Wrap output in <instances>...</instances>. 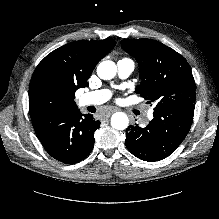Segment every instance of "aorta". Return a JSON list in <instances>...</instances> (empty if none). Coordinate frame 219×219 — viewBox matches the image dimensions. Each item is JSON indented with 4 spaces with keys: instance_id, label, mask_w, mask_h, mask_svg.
<instances>
[{
    "instance_id": "obj_1",
    "label": "aorta",
    "mask_w": 219,
    "mask_h": 219,
    "mask_svg": "<svg viewBox=\"0 0 219 219\" xmlns=\"http://www.w3.org/2000/svg\"><path fill=\"white\" fill-rule=\"evenodd\" d=\"M117 66L113 61L106 60L97 67V75L103 80H110L115 77ZM129 125V118L123 112H116L111 117V126L116 130H125Z\"/></svg>"
}]
</instances>
